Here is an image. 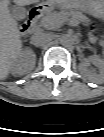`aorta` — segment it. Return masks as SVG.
Listing matches in <instances>:
<instances>
[{
  "label": "aorta",
  "mask_w": 104,
  "mask_h": 137,
  "mask_svg": "<svg viewBox=\"0 0 104 137\" xmlns=\"http://www.w3.org/2000/svg\"><path fill=\"white\" fill-rule=\"evenodd\" d=\"M60 43L64 47H73L74 39L69 35H64L60 38Z\"/></svg>",
  "instance_id": "762f6f07"
}]
</instances>
